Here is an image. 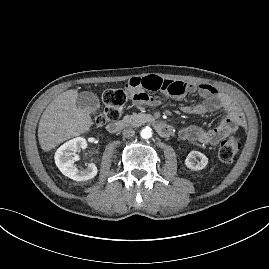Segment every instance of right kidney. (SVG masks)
Segmentation results:
<instances>
[{"label":"right kidney","instance_id":"obj_1","mask_svg":"<svg viewBox=\"0 0 269 269\" xmlns=\"http://www.w3.org/2000/svg\"><path fill=\"white\" fill-rule=\"evenodd\" d=\"M87 148V141L83 137H76L64 143L55 153V163L61 173L75 181H87L97 175L95 164H88L86 168L78 169L75 161L78 160L75 151Z\"/></svg>","mask_w":269,"mask_h":269}]
</instances>
